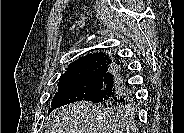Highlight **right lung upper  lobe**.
Returning a JSON list of instances; mask_svg holds the SVG:
<instances>
[{"label": "right lung upper lobe", "instance_id": "right-lung-upper-lobe-1", "mask_svg": "<svg viewBox=\"0 0 184 133\" xmlns=\"http://www.w3.org/2000/svg\"><path fill=\"white\" fill-rule=\"evenodd\" d=\"M113 62V56L103 53L95 52L79 57L76 61L71 63L66 72L59 78H78L86 77L94 74H105Z\"/></svg>", "mask_w": 184, "mask_h": 133}]
</instances>
